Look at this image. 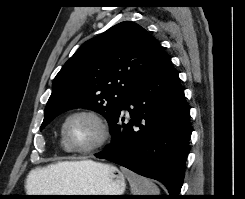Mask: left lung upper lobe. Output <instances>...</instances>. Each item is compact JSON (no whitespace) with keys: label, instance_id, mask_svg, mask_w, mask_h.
Wrapping results in <instances>:
<instances>
[{"label":"left lung upper lobe","instance_id":"1","mask_svg":"<svg viewBox=\"0 0 245 199\" xmlns=\"http://www.w3.org/2000/svg\"><path fill=\"white\" fill-rule=\"evenodd\" d=\"M162 53L158 40L131 21L88 40L54 78L40 129L62 112L79 107L100 113L110 123Z\"/></svg>","mask_w":245,"mask_h":199}]
</instances>
